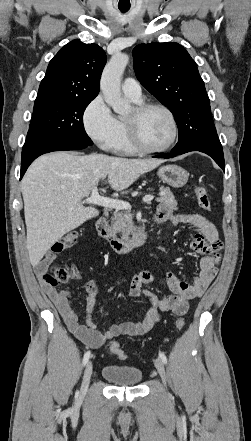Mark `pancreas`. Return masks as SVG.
<instances>
[{
	"mask_svg": "<svg viewBox=\"0 0 251 441\" xmlns=\"http://www.w3.org/2000/svg\"><path fill=\"white\" fill-rule=\"evenodd\" d=\"M160 191L162 195L156 199L157 202L165 205L170 210H177V202L168 187H161ZM111 232L122 233L123 238L126 239L134 231L132 214L116 212L111 219Z\"/></svg>",
	"mask_w": 251,
	"mask_h": 441,
	"instance_id": "pancreas-1",
	"label": "pancreas"
}]
</instances>
